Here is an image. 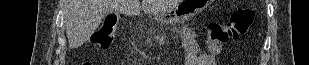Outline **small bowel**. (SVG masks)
<instances>
[{"label":"small bowel","instance_id":"obj_1","mask_svg":"<svg viewBox=\"0 0 309 65\" xmlns=\"http://www.w3.org/2000/svg\"><path fill=\"white\" fill-rule=\"evenodd\" d=\"M183 43L186 51L185 65H216V59L221 55L223 46L219 43H206L208 53L199 54V44L195 32L189 30L186 32Z\"/></svg>","mask_w":309,"mask_h":65}]
</instances>
